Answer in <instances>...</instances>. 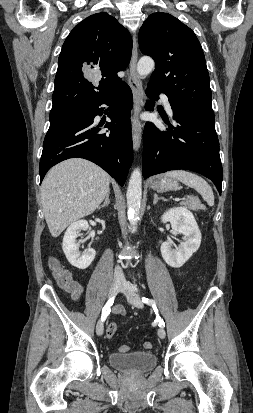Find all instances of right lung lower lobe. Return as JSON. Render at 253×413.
Instances as JSON below:
<instances>
[{"mask_svg":"<svg viewBox=\"0 0 253 413\" xmlns=\"http://www.w3.org/2000/svg\"><path fill=\"white\" fill-rule=\"evenodd\" d=\"M111 106V122L105 127L110 133H100L93 124L102 115L100 105ZM133 105L131 89L126 83L108 96L93 102L67 120L50 125L43 143L40 160V183L55 164L74 157L94 162L123 186L133 161L130 111Z\"/></svg>","mask_w":253,"mask_h":413,"instance_id":"98d812e1","label":"right lung lower lobe"}]
</instances>
